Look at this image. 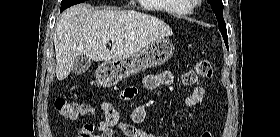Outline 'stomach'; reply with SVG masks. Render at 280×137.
Wrapping results in <instances>:
<instances>
[{"label": "stomach", "mask_w": 280, "mask_h": 137, "mask_svg": "<svg viewBox=\"0 0 280 137\" xmlns=\"http://www.w3.org/2000/svg\"><path fill=\"white\" fill-rule=\"evenodd\" d=\"M174 50L172 41L162 38L134 55L106 61L98 67L97 82L104 87L115 85L144 69L164 64L172 57Z\"/></svg>", "instance_id": "0dacf381"}]
</instances>
